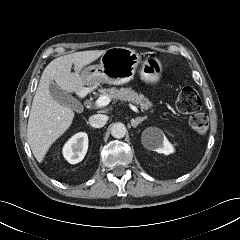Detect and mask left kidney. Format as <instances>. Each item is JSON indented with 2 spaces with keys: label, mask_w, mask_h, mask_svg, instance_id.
I'll return each instance as SVG.
<instances>
[{
  "label": "left kidney",
  "mask_w": 240,
  "mask_h": 240,
  "mask_svg": "<svg viewBox=\"0 0 240 240\" xmlns=\"http://www.w3.org/2000/svg\"><path fill=\"white\" fill-rule=\"evenodd\" d=\"M155 135V141H151L149 135ZM142 144L146 149L169 155L174 152L173 146L158 128H148L143 132Z\"/></svg>",
  "instance_id": "1"
}]
</instances>
